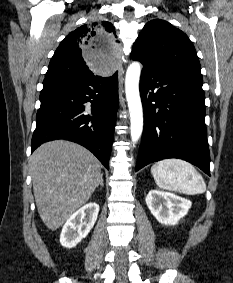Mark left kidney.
I'll use <instances>...</instances> for the list:
<instances>
[{"instance_id":"1","label":"left kidney","mask_w":233,"mask_h":283,"mask_svg":"<svg viewBox=\"0 0 233 283\" xmlns=\"http://www.w3.org/2000/svg\"><path fill=\"white\" fill-rule=\"evenodd\" d=\"M145 201L152 215L164 225H176L191 207L189 200L159 190H151Z\"/></svg>"}]
</instances>
